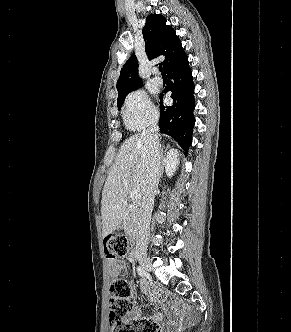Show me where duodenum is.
I'll list each match as a JSON object with an SVG mask.
<instances>
[{
  "label": "duodenum",
  "mask_w": 291,
  "mask_h": 332,
  "mask_svg": "<svg viewBox=\"0 0 291 332\" xmlns=\"http://www.w3.org/2000/svg\"><path fill=\"white\" fill-rule=\"evenodd\" d=\"M132 242L136 245L138 243V238L136 236H133Z\"/></svg>",
  "instance_id": "410a0bca"
}]
</instances>
